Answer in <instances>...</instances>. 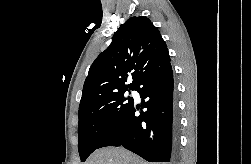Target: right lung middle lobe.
Segmentation results:
<instances>
[{
	"mask_svg": "<svg viewBox=\"0 0 251 164\" xmlns=\"http://www.w3.org/2000/svg\"><path fill=\"white\" fill-rule=\"evenodd\" d=\"M126 91L101 96L79 109L78 149L82 162L98 149L103 139L133 106V99L125 97Z\"/></svg>",
	"mask_w": 251,
	"mask_h": 164,
	"instance_id": "right-lung-middle-lobe-1",
	"label": "right lung middle lobe"
}]
</instances>
